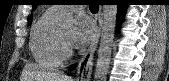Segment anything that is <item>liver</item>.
Here are the masks:
<instances>
[{
  "instance_id": "liver-1",
  "label": "liver",
  "mask_w": 169,
  "mask_h": 81,
  "mask_svg": "<svg viewBox=\"0 0 169 81\" xmlns=\"http://www.w3.org/2000/svg\"><path fill=\"white\" fill-rule=\"evenodd\" d=\"M27 81H71V78L57 72L39 71L35 66H28Z\"/></svg>"
}]
</instances>
